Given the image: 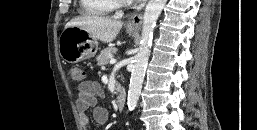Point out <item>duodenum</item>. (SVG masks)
Segmentation results:
<instances>
[{"label": "duodenum", "mask_w": 257, "mask_h": 130, "mask_svg": "<svg viewBox=\"0 0 257 130\" xmlns=\"http://www.w3.org/2000/svg\"><path fill=\"white\" fill-rule=\"evenodd\" d=\"M117 107L120 111L124 110L125 105H126V95L123 91H121L118 95H117Z\"/></svg>", "instance_id": "1"}]
</instances>
